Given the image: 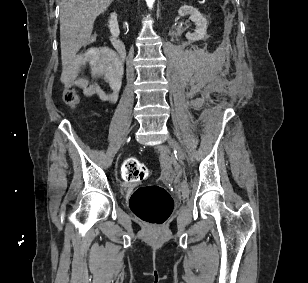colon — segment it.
Wrapping results in <instances>:
<instances>
[{"label": "colon", "mask_w": 308, "mask_h": 283, "mask_svg": "<svg viewBox=\"0 0 308 283\" xmlns=\"http://www.w3.org/2000/svg\"><path fill=\"white\" fill-rule=\"evenodd\" d=\"M96 34L87 40L90 46L96 41ZM63 101L69 106H76L80 102L77 91L73 88L63 92ZM121 175L125 181L139 182L149 175L147 167L137 158H126L121 166ZM132 212L142 221L152 225H162L173 211V199L170 193L158 185L139 186L134 190L129 201Z\"/></svg>", "instance_id": "1"}]
</instances>
